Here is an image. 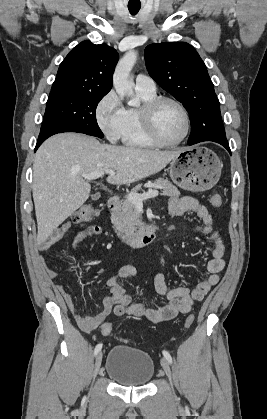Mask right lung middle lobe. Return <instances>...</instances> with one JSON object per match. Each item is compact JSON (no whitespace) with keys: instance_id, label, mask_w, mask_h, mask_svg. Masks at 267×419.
Returning a JSON list of instances; mask_svg holds the SVG:
<instances>
[{"instance_id":"dd1d6c3e","label":"right lung middle lobe","mask_w":267,"mask_h":419,"mask_svg":"<svg viewBox=\"0 0 267 419\" xmlns=\"http://www.w3.org/2000/svg\"><path fill=\"white\" fill-rule=\"evenodd\" d=\"M103 93H53L48 97L44 123L57 125L71 132L103 138L97 121L96 107Z\"/></svg>"}]
</instances>
